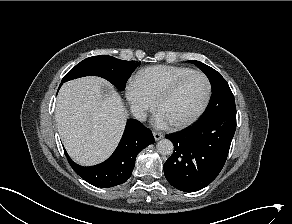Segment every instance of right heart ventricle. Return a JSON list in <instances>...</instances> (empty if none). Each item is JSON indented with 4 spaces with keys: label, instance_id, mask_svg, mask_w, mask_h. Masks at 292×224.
<instances>
[{
    "label": "right heart ventricle",
    "instance_id": "e07e8e85",
    "mask_svg": "<svg viewBox=\"0 0 292 224\" xmlns=\"http://www.w3.org/2000/svg\"><path fill=\"white\" fill-rule=\"evenodd\" d=\"M195 70L184 66L157 65L141 70L134 82L153 102L172 83Z\"/></svg>",
    "mask_w": 292,
    "mask_h": 224
}]
</instances>
